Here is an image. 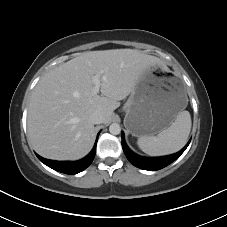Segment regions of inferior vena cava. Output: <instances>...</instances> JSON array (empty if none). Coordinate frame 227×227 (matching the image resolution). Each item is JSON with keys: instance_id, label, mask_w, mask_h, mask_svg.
Listing matches in <instances>:
<instances>
[{"instance_id": "602c4592", "label": "inferior vena cava", "mask_w": 227, "mask_h": 227, "mask_svg": "<svg viewBox=\"0 0 227 227\" xmlns=\"http://www.w3.org/2000/svg\"><path fill=\"white\" fill-rule=\"evenodd\" d=\"M103 120H104V116H103V113L100 112V111H95L91 114L90 116V121L93 123V124H100V123H103Z\"/></svg>"}]
</instances>
